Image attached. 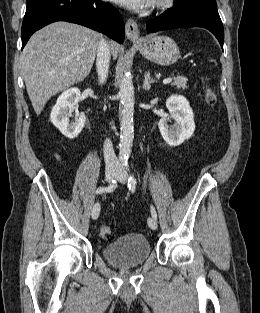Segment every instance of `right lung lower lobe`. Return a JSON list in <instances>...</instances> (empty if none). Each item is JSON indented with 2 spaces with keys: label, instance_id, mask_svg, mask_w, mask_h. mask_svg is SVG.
I'll return each instance as SVG.
<instances>
[{
  "label": "right lung lower lobe",
  "instance_id": "98d812e1",
  "mask_svg": "<svg viewBox=\"0 0 260 313\" xmlns=\"http://www.w3.org/2000/svg\"><path fill=\"white\" fill-rule=\"evenodd\" d=\"M80 24L122 43L124 24L117 9L99 0H27L22 24V48L40 28L55 22Z\"/></svg>",
  "mask_w": 260,
  "mask_h": 313
}]
</instances>
